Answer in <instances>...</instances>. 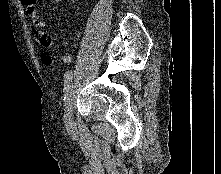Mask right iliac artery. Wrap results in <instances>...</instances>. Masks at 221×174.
<instances>
[{
    "label": "right iliac artery",
    "mask_w": 221,
    "mask_h": 174,
    "mask_svg": "<svg viewBox=\"0 0 221 174\" xmlns=\"http://www.w3.org/2000/svg\"><path fill=\"white\" fill-rule=\"evenodd\" d=\"M72 78H73L72 71H67L64 74V92H65V97L64 98H66V93L68 92L69 85H70V82L72 81Z\"/></svg>",
    "instance_id": "right-iliac-artery-1"
}]
</instances>
